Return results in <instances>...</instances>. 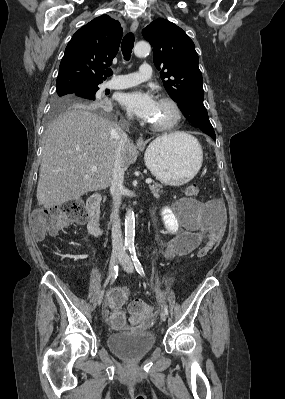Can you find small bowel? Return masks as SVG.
<instances>
[{"mask_svg": "<svg viewBox=\"0 0 285 399\" xmlns=\"http://www.w3.org/2000/svg\"><path fill=\"white\" fill-rule=\"evenodd\" d=\"M181 217L184 221L174 214L162 215L166 231L175 235L173 244L164 255L168 260L173 256L188 254L198 246L204 236L222 237L224 234V213L221 202L217 199L204 206L193 203L181 214ZM127 297V291L122 287L113 288L107 296L102 314L106 322L114 329H126L124 306ZM140 322L141 319H137L135 324L138 325Z\"/></svg>", "mask_w": 285, "mask_h": 399, "instance_id": "small-bowel-1", "label": "small bowel"}]
</instances>
